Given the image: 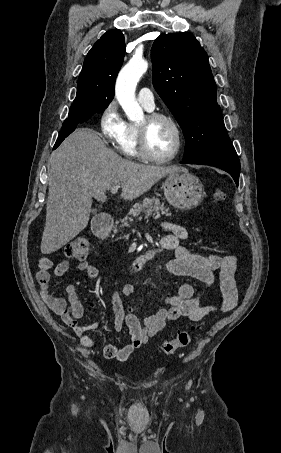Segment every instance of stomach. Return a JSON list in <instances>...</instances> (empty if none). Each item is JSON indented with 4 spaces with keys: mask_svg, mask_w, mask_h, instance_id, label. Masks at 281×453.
Segmentation results:
<instances>
[{
    "mask_svg": "<svg viewBox=\"0 0 281 453\" xmlns=\"http://www.w3.org/2000/svg\"><path fill=\"white\" fill-rule=\"evenodd\" d=\"M163 186L165 198L180 210L195 208L204 196V186L200 178L188 170L168 174Z\"/></svg>",
    "mask_w": 281,
    "mask_h": 453,
    "instance_id": "obj_1",
    "label": "stomach"
}]
</instances>
